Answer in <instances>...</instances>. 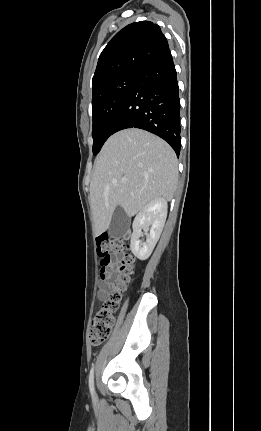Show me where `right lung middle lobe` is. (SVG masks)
I'll return each instance as SVG.
<instances>
[{
    "label": "right lung middle lobe",
    "mask_w": 261,
    "mask_h": 431,
    "mask_svg": "<svg viewBox=\"0 0 261 431\" xmlns=\"http://www.w3.org/2000/svg\"><path fill=\"white\" fill-rule=\"evenodd\" d=\"M139 72L121 74L93 90V154L112 135V127Z\"/></svg>",
    "instance_id": "obj_1"
}]
</instances>
